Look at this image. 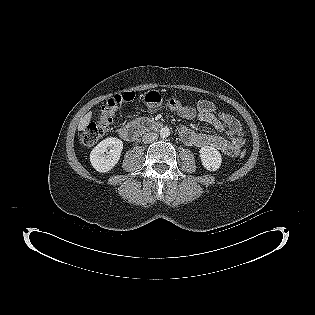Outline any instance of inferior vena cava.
<instances>
[{"mask_svg": "<svg viewBox=\"0 0 315 315\" xmlns=\"http://www.w3.org/2000/svg\"><path fill=\"white\" fill-rule=\"evenodd\" d=\"M158 134L156 132H148L142 136V141L144 143H152L157 140Z\"/></svg>", "mask_w": 315, "mask_h": 315, "instance_id": "1", "label": "inferior vena cava"}]
</instances>
